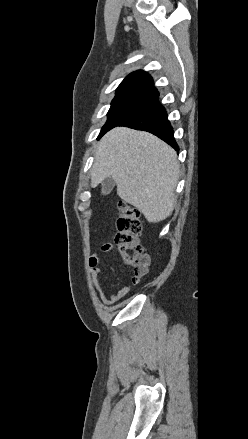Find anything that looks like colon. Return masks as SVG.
Segmentation results:
<instances>
[{
    "instance_id": "5ec220e1",
    "label": "colon",
    "mask_w": 248,
    "mask_h": 439,
    "mask_svg": "<svg viewBox=\"0 0 248 439\" xmlns=\"http://www.w3.org/2000/svg\"><path fill=\"white\" fill-rule=\"evenodd\" d=\"M118 210L114 246L123 262L132 268L133 277L140 280L147 273L150 260L139 241L142 232L139 211L136 207L123 201L119 203Z\"/></svg>"
}]
</instances>
